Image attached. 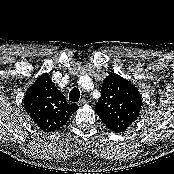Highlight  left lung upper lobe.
Listing matches in <instances>:
<instances>
[{
	"mask_svg": "<svg viewBox=\"0 0 174 174\" xmlns=\"http://www.w3.org/2000/svg\"><path fill=\"white\" fill-rule=\"evenodd\" d=\"M141 106L138 89L123 77L110 74L103 81L95 112L108 129L119 133L135 122Z\"/></svg>",
	"mask_w": 174,
	"mask_h": 174,
	"instance_id": "left-lung-upper-lobe-1",
	"label": "left lung upper lobe"
}]
</instances>
